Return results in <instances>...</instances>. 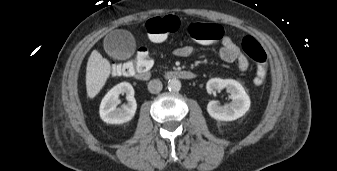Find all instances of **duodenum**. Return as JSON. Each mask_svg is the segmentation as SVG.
I'll return each mask as SVG.
<instances>
[{
  "label": "duodenum",
  "mask_w": 337,
  "mask_h": 171,
  "mask_svg": "<svg viewBox=\"0 0 337 171\" xmlns=\"http://www.w3.org/2000/svg\"><path fill=\"white\" fill-rule=\"evenodd\" d=\"M135 77L139 80H148L150 78V71L148 69L137 70ZM196 73L186 70H177L172 69L164 73L165 79H183V80H192L196 78Z\"/></svg>",
  "instance_id": "duodenum-1"
}]
</instances>
